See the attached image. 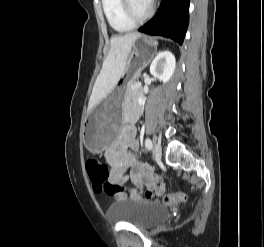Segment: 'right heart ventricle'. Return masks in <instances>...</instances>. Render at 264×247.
<instances>
[{"label": "right heart ventricle", "mask_w": 264, "mask_h": 247, "mask_svg": "<svg viewBox=\"0 0 264 247\" xmlns=\"http://www.w3.org/2000/svg\"><path fill=\"white\" fill-rule=\"evenodd\" d=\"M102 9L110 26L117 32H126L134 27L122 11V0H102Z\"/></svg>", "instance_id": "right-heart-ventricle-1"}]
</instances>
